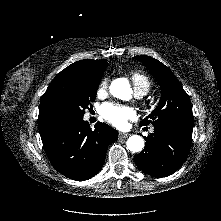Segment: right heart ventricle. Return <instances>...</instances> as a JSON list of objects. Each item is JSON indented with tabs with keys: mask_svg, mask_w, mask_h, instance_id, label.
<instances>
[{
	"mask_svg": "<svg viewBox=\"0 0 221 221\" xmlns=\"http://www.w3.org/2000/svg\"><path fill=\"white\" fill-rule=\"evenodd\" d=\"M135 93H140L145 95L152 87V80L151 78L140 71H133L130 73Z\"/></svg>",
	"mask_w": 221,
	"mask_h": 221,
	"instance_id": "1",
	"label": "right heart ventricle"
}]
</instances>
